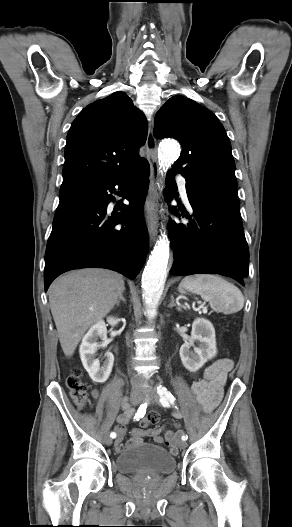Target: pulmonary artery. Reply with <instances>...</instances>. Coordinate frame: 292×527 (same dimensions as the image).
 I'll list each match as a JSON object with an SVG mask.
<instances>
[{"label": "pulmonary artery", "mask_w": 292, "mask_h": 527, "mask_svg": "<svg viewBox=\"0 0 292 527\" xmlns=\"http://www.w3.org/2000/svg\"><path fill=\"white\" fill-rule=\"evenodd\" d=\"M177 181H178V184H179L180 194H181L183 200L187 203L188 202V197H187V191H186V180H185L184 177L178 176L177 177Z\"/></svg>", "instance_id": "obj_1"}]
</instances>
